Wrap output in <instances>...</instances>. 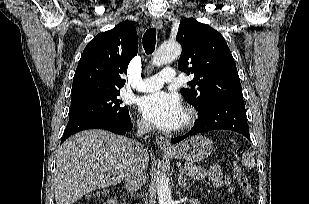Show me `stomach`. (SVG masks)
Here are the masks:
<instances>
[{"instance_id": "0dacf381", "label": "stomach", "mask_w": 309, "mask_h": 204, "mask_svg": "<svg viewBox=\"0 0 309 204\" xmlns=\"http://www.w3.org/2000/svg\"><path fill=\"white\" fill-rule=\"evenodd\" d=\"M213 152L212 142L203 135L193 136L175 147L167 153L179 160L198 162L206 159Z\"/></svg>"}]
</instances>
